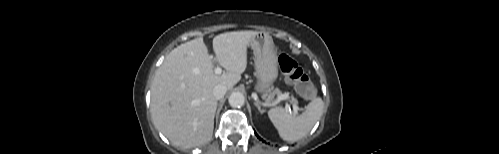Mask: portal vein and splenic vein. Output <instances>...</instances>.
<instances>
[{"label":"portal vein and splenic vein","mask_w":499,"mask_h":154,"mask_svg":"<svg viewBox=\"0 0 499 154\" xmlns=\"http://www.w3.org/2000/svg\"><path fill=\"white\" fill-rule=\"evenodd\" d=\"M214 72H215V74L219 75V74L222 73V69L220 67H216L214 69ZM283 99H284V97H278L276 100L272 101L271 104L272 105H276V104L280 103ZM286 108L291 112V109H290L289 105H286ZM293 108H294V113L297 114L298 113V108L296 106H293Z\"/></svg>","instance_id":"obj_1"}]
</instances>
